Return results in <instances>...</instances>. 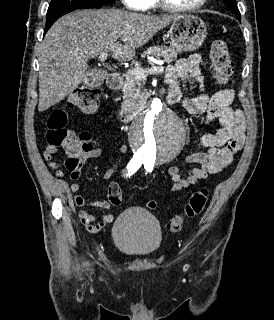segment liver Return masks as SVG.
Listing matches in <instances>:
<instances>
[{"label": "liver", "mask_w": 274, "mask_h": 320, "mask_svg": "<svg viewBox=\"0 0 274 320\" xmlns=\"http://www.w3.org/2000/svg\"><path fill=\"white\" fill-rule=\"evenodd\" d=\"M176 18L116 8L76 10L62 16L48 30L39 50L38 112L55 106L85 82L90 58L109 52L117 62H129L135 58L136 48Z\"/></svg>", "instance_id": "obj_1"}]
</instances>
